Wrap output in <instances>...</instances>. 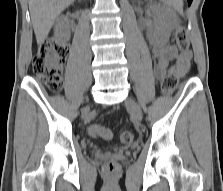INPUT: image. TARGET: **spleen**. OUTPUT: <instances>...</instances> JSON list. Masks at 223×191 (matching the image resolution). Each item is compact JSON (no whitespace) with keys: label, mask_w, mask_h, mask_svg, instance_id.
Returning a JSON list of instances; mask_svg holds the SVG:
<instances>
[{"label":"spleen","mask_w":223,"mask_h":191,"mask_svg":"<svg viewBox=\"0 0 223 191\" xmlns=\"http://www.w3.org/2000/svg\"><path fill=\"white\" fill-rule=\"evenodd\" d=\"M175 1V8L179 11L182 12V0H174Z\"/></svg>","instance_id":"spleen-1"}]
</instances>
